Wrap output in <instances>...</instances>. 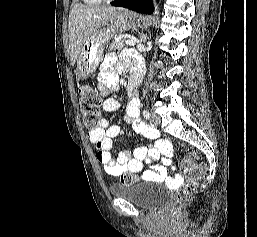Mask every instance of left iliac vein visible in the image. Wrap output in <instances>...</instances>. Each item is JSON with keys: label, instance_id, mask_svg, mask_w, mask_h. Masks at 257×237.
<instances>
[{"label": "left iliac vein", "instance_id": "4c4485c4", "mask_svg": "<svg viewBox=\"0 0 257 237\" xmlns=\"http://www.w3.org/2000/svg\"><path fill=\"white\" fill-rule=\"evenodd\" d=\"M150 122L152 125L157 126L160 124V117L156 113L150 115Z\"/></svg>", "mask_w": 257, "mask_h": 237}]
</instances>
